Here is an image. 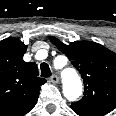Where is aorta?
I'll list each match as a JSON object with an SVG mask.
<instances>
[{
	"instance_id": "obj_1",
	"label": "aorta",
	"mask_w": 116,
	"mask_h": 116,
	"mask_svg": "<svg viewBox=\"0 0 116 116\" xmlns=\"http://www.w3.org/2000/svg\"><path fill=\"white\" fill-rule=\"evenodd\" d=\"M63 94L69 101H75L82 94V82L77 72L65 68L62 72Z\"/></svg>"
}]
</instances>
